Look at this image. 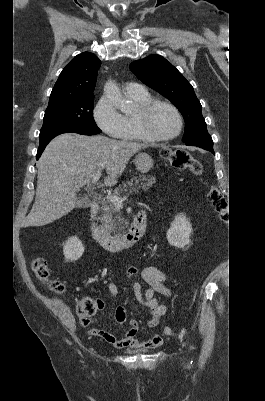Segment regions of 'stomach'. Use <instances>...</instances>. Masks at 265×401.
I'll use <instances>...</instances> for the list:
<instances>
[{
  "label": "stomach",
  "mask_w": 265,
  "mask_h": 401,
  "mask_svg": "<svg viewBox=\"0 0 265 401\" xmlns=\"http://www.w3.org/2000/svg\"><path fill=\"white\" fill-rule=\"evenodd\" d=\"M135 166L140 172H148L153 166V158L147 152H139L134 158Z\"/></svg>",
  "instance_id": "obj_1"
}]
</instances>
